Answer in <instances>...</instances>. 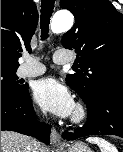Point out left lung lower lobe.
Segmentation results:
<instances>
[{
    "instance_id": "left-lung-lower-lobe-1",
    "label": "left lung lower lobe",
    "mask_w": 123,
    "mask_h": 152,
    "mask_svg": "<svg viewBox=\"0 0 123 152\" xmlns=\"http://www.w3.org/2000/svg\"><path fill=\"white\" fill-rule=\"evenodd\" d=\"M87 123L63 138L75 140L90 135H116L123 138V88H108L98 92L86 103Z\"/></svg>"
}]
</instances>
